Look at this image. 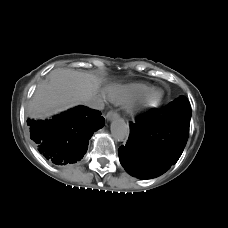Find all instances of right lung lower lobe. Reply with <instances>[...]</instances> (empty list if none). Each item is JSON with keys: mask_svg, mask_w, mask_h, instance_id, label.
<instances>
[{"mask_svg": "<svg viewBox=\"0 0 228 228\" xmlns=\"http://www.w3.org/2000/svg\"><path fill=\"white\" fill-rule=\"evenodd\" d=\"M30 138L55 164L74 163L88 148V139L101 128L104 118L98 110L78 106L48 120H28Z\"/></svg>", "mask_w": 228, "mask_h": 228, "instance_id": "right-lung-lower-lobe-1", "label": "right lung lower lobe"}]
</instances>
